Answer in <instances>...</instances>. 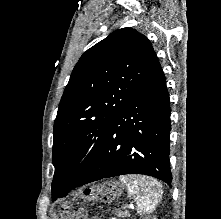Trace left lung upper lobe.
<instances>
[{
	"mask_svg": "<svg viewBox=\"0 0 221 219\" xmlns=\"http://www.w3.org/2000/svg\"><path fill=\"white\" fill-rule=\"evenodd\" d=\"M156 59L150 41L132 28L114 31L81 56L54 122V199L71 191L92 164Z\"/></svg>",
	"mask_w": 221,
	"mask_h": 219,
	"instance_id": "5c2ea615",
	"label": "left lung upper lobe"
}]
</instances>
